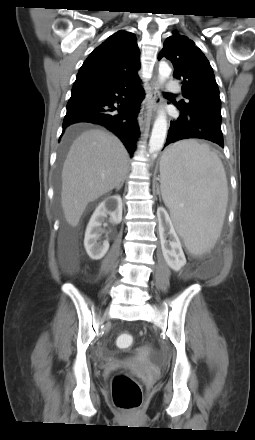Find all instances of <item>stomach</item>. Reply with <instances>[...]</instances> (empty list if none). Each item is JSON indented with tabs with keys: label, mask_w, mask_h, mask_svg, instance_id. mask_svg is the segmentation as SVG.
<instances>
[{
	"label": "stomach",
	"mask_w": 255,
	"mask_h": 440,
	"mask_svg": "<svg viewBox=\"0 0 255 440\" xmlns=\"http://www.w3.org/2000/svg\"><path fill=\"white\" fill-rule=\"evenodd\" d=\"M165 160H166V151H165V153H164L163 156H162L161 162H163V161H165Z\"/></svg>",
	"instance_id": "1"
}]
</instances>
